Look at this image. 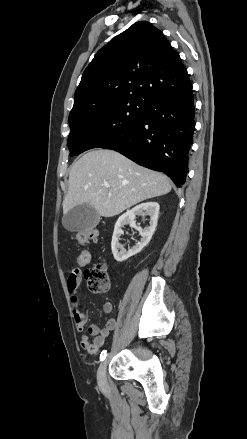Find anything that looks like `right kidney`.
<instances>
[{
    "label": "right kidney",
    "mask_w": 247,
    "mask_h": 439,
    "mask_svg": "<svg viewBox=\"0 0 247 439\" xmlns=\"http://www.w3.org/2000/svg\"><path fill=\"white\" fill-rule=\"evenodd\" d=\"M159 208L160 207L157 202H146L135 206L118 218L114 227L111 242L112 253L116 261L123 262L127 260L131 256L139 253L149 243L157 226ZM138 215L150 216V222L148 227L142 229L136 226L135 218ZM124 225H132L136 230H138L139 234L141 235V240L128 251L125 250L119 243L120 236L124 233L122 230Z\"/></svg>",
    "instance_id": "1"
}]
</instances>
